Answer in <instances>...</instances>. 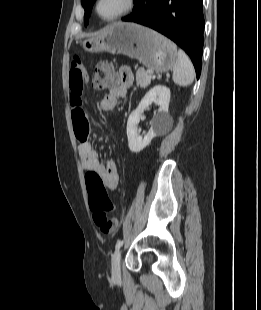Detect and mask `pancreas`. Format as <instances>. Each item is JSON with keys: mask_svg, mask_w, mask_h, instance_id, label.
Returning a JSON list of instances; mask_svg holds the SVG:
<instances>
[{"mask_svg": "<svg viewBox=\"0 0 261 310\" xmlns=\"http://www.w3.org/2000/svg\"><path fill=\"white\" fill-rule=\"evenodd\" d=\"M147 76L148 74L143 68L138 69L136 72L137 86H140L141 88L147 87L151 82V79H148Z\"/></svg>", "mask_w": 261, "mask_h": 310, "instance_id": "obj_1", "label": "pancreas"}]
</instances>
